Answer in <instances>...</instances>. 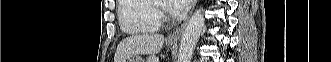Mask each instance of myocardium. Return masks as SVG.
Returning a JSON list of instances; mask_svg holds the SVG:
<instances>
[{
  "label": "myocardium",
  "mask_w": 331,
  "mask_h": 62,
  "mask_svg": "<svg viewBox=\"0 0 331 62\" xmlns=\"http://www.w3.org/2000/svg\"><path fill=\"white\" fill-rule=\"evenodd\" d=\"M152 4L155 8H157L159 10L165 11V9H166V5H164L160 1H153Z\"/></svg>",
  "instance_id": "obj_1"
}]
</instances>
